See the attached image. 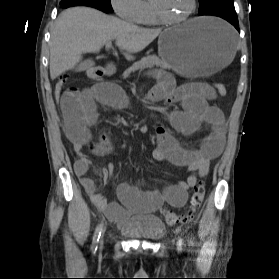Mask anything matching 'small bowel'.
Instances as JSON below:
<instances>
[{
	"label": "small bowel",
	"instance_id": "obj_1",
	"mask_svg": "<svg viewBox=\"0 0 279 279\" xmlns=\"http://www.w3.org/2000/svg\"><path fill=\"white\" fill-rule=\"evenodd\" d=\"M158 84L150 92V99L164 100L166 104L180 102L182 109L169 110L162 106L156 116L158 145L152 156L158 161H167L184 166L190 174L186 181H179L166 186L163 190H140L126 183L119 184L118 194L122 205L109 202L98 192L97 183L88 176L92 162L83 151L90 148L96 155H106L111 151L110 137L103 133L97 143L93 142L92 128L97 122V104H104L116 109L129 105L128 97L121 87L112 83L95 84L84 89L68 88L60 99L63 115V129L73 144L79 159L74 170L81 186L92 202L107 217L115 222H123L128 212L153 213L164 203L173 207L186 204L188 190L194 188L198 178L208 174L210 162L222 153L225 144V122L222 111L210 103L214 99L213 89L206 83L194 82L175 87L173 78L166 72L157 73ZM183 135H193L206 124L211 128L199 147L183 149L172 137L163 121ZM100 181L107 178L116 180L114 165L98 171Z\"/></svg>",
	"mask_w": 279,
	"mask_h": 279
}]
</instances>
